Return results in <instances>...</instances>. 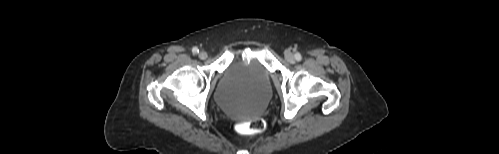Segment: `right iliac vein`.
I'll use <instances>...</instances> for the list:
<instances>
[{
	"mask_svg": "<svg viewBox=\"0 0 499 154\" xmlns=\"http://www.w3.org/2000/svg\"><path fill=\"white\" fill-rule=\"evenodd\" d=\"M199 58L202 59V60L206 59L207 58V53L205 51H201L199 53Z\"/></svg>",
	"mask_w": 499,
	"mask_h": 154,
	"instance_id": "right-iliac-vein-1",
	"label": "right iliac vein"
}]
</instances>
